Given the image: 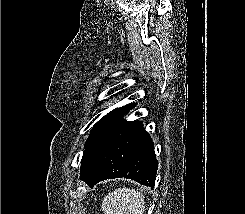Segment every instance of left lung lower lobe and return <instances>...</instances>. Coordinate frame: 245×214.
<instances>
[{
    "instance_id": "obj_1",
    "label": "left lung lower lobe",
    "mask_w": 245,
    "mask_h": 214,
    "mask_svg": "<svg viewBox=\"0 0 245 214\" xmlns=\"http://www.w3.org/2000/svg\"><path fill=\"white\" fill-rule=\"evenodd\" d=\"M157 166L154 144L142 123L118 119L84 150L80 179L90 188L121 177L153 188Z\"/></svg>"
}]
</instances>
